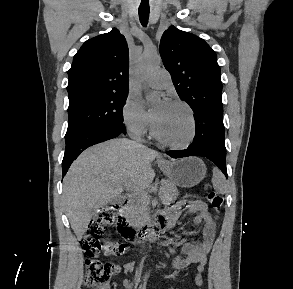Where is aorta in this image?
Returning a JSON list of instances; mask_svg holds the SVG:
<instances>
[{"instance_id":"obj_1","label":"aorta","mask_w":293,"mask_h":289,"mask_svg":"<svg viewBox=\"0 0 293 289\" xmlns=\"http://www.w3.org/2000/svg\"><path fill=\"white\" fill-rule=\"evenodd\" d=\"M160 67V58L156 54H144L139 62L138 71L141 77H147ZM146 99L149 102H156L159 96L155 93H148Z\"/></svg>"}]
</instances>
